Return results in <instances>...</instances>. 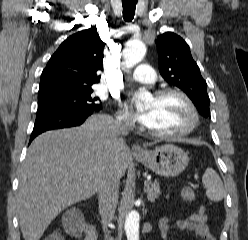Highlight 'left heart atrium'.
<instances>
[{
    "mask_svg": "<svg viewBox=\"0 0 248 240\" xmlns=\"http://www.w3.org/2000/svg\"><path fill=\"white\" fill-rule=\"evenodd\" d=\"M135 115L138 121L145 126H148L151 123L152 118H153V113L149 109H146L141 112H137Z\"/></svg>",
    "mask_w": 248,
    "mask_h": 240,
    "instance_id": "1",
    "label": "left heart atrium"
}]
</instances>
